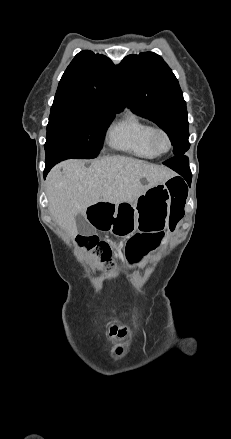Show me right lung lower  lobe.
<instances>
[{
  "mask_svg": "<svg viewBox=\"0 0 231 439\" xmlns=\"http://www.w3.org/2000/svg\"><path fill=\"white\" fill-rule=\"evenodd\" d=\"M56 161H52V162H47L46 161V167L44 170V178L46 177L47 173L50 171V169L56 164Z\"/></svg>",
  "mask_w": 231,
  "mask_h": 439,
  "instance_id": "right-lung-lower-lobe-1",
  "label": "right lung lower lobe"
}]
</instances>
